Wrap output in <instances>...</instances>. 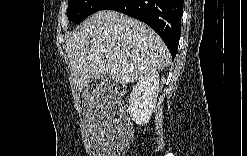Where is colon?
Segmentation results:
<instances>
[{
  "label": "colon",
  "instance_id": "1",
  "mask_svg": "<svg viewBox=\"0 0 247 156\" xmlns=\"http://www.w3.org/2000/svg\"><path fill=\"white\" fill-rule=\"evenodd\" d=\"M113 91L117 94V95H124L127 92V89L125 86L120 85V84H116L113 86Z\"/></svg>",
  "mask_w": 247,
  "mask_h": 156
}]
</instances>
